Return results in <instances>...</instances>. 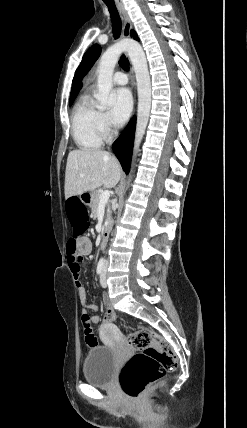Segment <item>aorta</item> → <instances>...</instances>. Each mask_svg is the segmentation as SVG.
Wrapping results in <instances>:
<instances>
[{
  "label": "aorta",
  "instance_id": "762f6f07",
  "mask_svg": "<svg viewBox=\"0 0 247 428\" xmlns=\"http://www.w3.org/2000/svg\"><path fill=\"white\" fill-rule=\"evenodd\" d=\"M124 49L128 51L129 59L134 68L138 91L137 123L133 152L134 157L139 150V146L149 120L151 109L150 75L145 53L140 46L125 48L116 45L107 49L106 52L101 56L97 69L98 91L96 94V99L101 108H105L112 103L113 99L110 95L112 88V76L115 65Z\"/></svg>",
  "mask_w": 247,
  "mask_h": 428
}]
</instances>
